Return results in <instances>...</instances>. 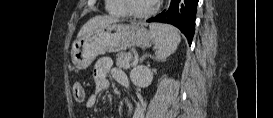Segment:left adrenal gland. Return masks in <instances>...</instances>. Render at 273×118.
Segmentation results:
<instances>
[{
  "instance_id": "a2214340",
  "label": "left adrenal gland",
  "mask_w": 273,
  "mask_h": 118,
  "mask_svg": "<svg viewBox=\"0 0 273 118\" xmlns=\"http://www.w3.org/2000/svg\"><path fill=\"white\" fill-rule=\"evenodd\" d=\"M147 57H149V55H148V54H144V55L141 57V59H140V63H142L143 60H144L145 58H147Z\"/></svg>"
}]
</instances>
